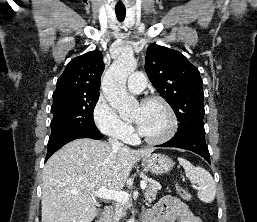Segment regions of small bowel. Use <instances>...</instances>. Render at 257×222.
Listing matches in <instances>:
<instances>
[{
	"label": "small bowel",
	"instance_id": "obj_1",
	"mask_svg": "<svg viewBox=\"0 0 257 222\" xmlns=\"http://www.w3.org/2000/svg\"><path fill=\"white\" fill-rule=\"evenodd\" d=\"M147 222H202L180 199L165 197L147 215Z\"/></svg>",
	"mask_w": 257,
	"mask_h": 222
}]
</instances>
